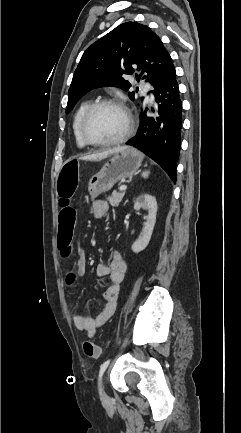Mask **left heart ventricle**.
Listing matches in <instances>:
<instances>
[{
    "label": "left heart ventricle",
    "mask_w": 241,
    "mask_h": 433,
    "mask_svg": "<svg viewBox=\"0 0 241 433\" xmlns=\"http://www.w3.org/2000/svg\"><path fill=\"white\" fill-rule=\"evenodd\" d=\"M125 128L124 112L115 106H103L89 119L87 132L93 140L106 142L121 136Z\"/></svg>",
    "instance_id": "obj_1"
}]
</instances>
